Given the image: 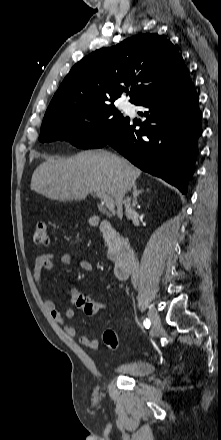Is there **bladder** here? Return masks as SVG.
<instances>
[{
	"instance_id": "obj_1",
	"label": "bladder",
	"mask_w": 221,
	"mask_h": 440,
	"mask_svg": "<svg viewBox=\"0 0 221 440\" xmlns=\"http://www.w3.org/2000/svg\"><path fill=\"white\" fill-rule=\"evenodd\" d=\"M156 369V364L151 360L139 359L115 365L112 371L124 376L141 378L150 375Z\"/></svg>"
}]
</instances>
